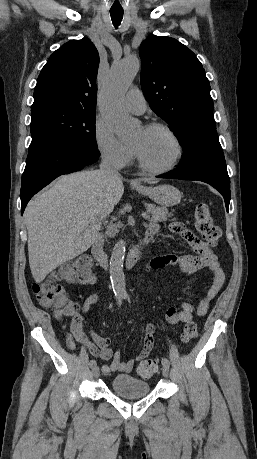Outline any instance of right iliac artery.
<instances>
[{
    "label": "right iliac artery",
    "instance_id": "obj_1",
    "mask_svg": "<svg viewBox=\"0 0 257 459\" xmlns=\"http://www.w3.org/2000/svg\"><path fill=\"white\" fill-rule=\"evenodd\" d=\"M117 299H118V303L121 304L122 297H118ZM89 365L93 369L96 366V361L90 360Z\"/></svg>",
    "mask_w": 257,
    "mask_h": 459
}]
</instances>
